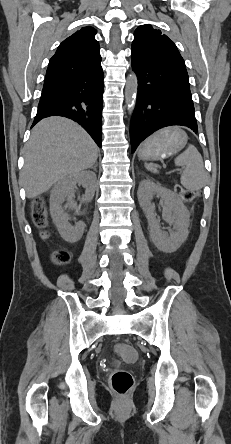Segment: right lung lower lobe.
I'll return each instance as SVG.
<instances>
[{"instance_id": "1", "label": "right lung lower lobe", "mask_w": 231, "mask_h": 444, "mask_svg": "<svg viewBox=\"0 0 231 444\" xmlns=\"http://www.w3.org/2000/svg\"><path fill=\"white\" fill-rule=\"evenodd\" d=\"M103 88L102 68L44 83L33 125L48 116H65L84 127L101 147Z\"/></svg>"}]
</instances>
